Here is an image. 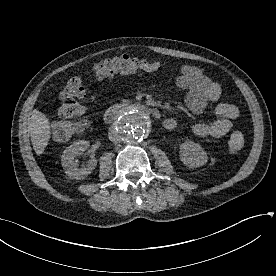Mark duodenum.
Wrapping results in <instances>:
<instances>
[{
    "mask_svg": "<svg viewBox=\"0 0 276 276\" xmlns=\"http://www.w3.org/2000/svg\"><path fill=\"white\" fill-rule=\"evenodd\" d=\"M129 110H139L146 112L156 118L160 117V112L157 108L148 106L141 103H135V104H117L114 106H111L108 108L104 115L103 119L106 123H113L115 122L124 112H127Z\"/></svg>",
    "mask_w": 276,
    "mask_h": 276,
    "instance_id": "1",
    "label": "duodenum"
}]
</instances>
